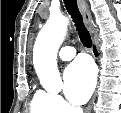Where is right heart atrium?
<instances>
[{"label":"right heart atrium","mask_w":121,"mask_h":113,"mask_svg":"<svg viewBox=\"0 0 121 113\" xmlns=\"http://www.w3.org/2000/svg\"><path fill=\"white\" fill-rule=\"evenodd\" d=\"M56 110H64L67 108L66 103L57 95L52 96Z\"/></svg>","instance_id":"right-heart-atrium-1"}]
</instances>
